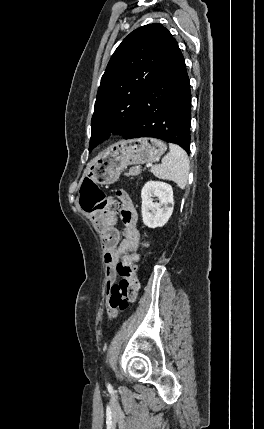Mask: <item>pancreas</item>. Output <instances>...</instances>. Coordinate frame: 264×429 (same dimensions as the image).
Masks as SVG:
<instances>
[{"instance_id":"obj_1","label":"pancreas","mask_w":264,"mask_h":429,"mask_svg":"<svg viewBox=\"0 0 264 429\" xmlns=\"http://www.w3.org/2000/svg\"><path fill=\"white\" fill-rule=\"evenodd\" d=\"M141 173L140 167H131L129 172L126 173L127 176H137Z\"/></svg>"}]
</instances>
